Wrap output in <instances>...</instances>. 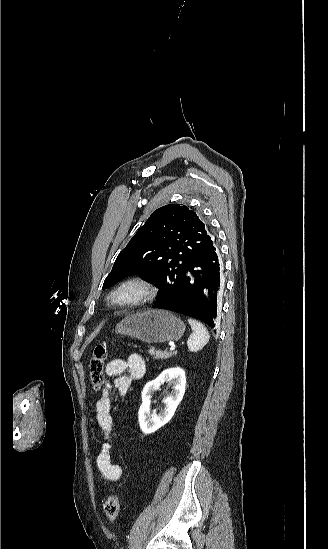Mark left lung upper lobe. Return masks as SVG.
Here are the masks:
<instances>
[{"label":"left lung upper lobe","instance_id":"1","mask_svg":"<svg viewBox=\"0 0 328 549\" xmlns=\"http://www.w3.org/2000/svg\"><path fill=\"white\" fill-rule=\"evenodd\" d=\"M199 216L186 206L169 204L155 210L119 253L103 289L139 274L169 295L190 262L213 243Z\"/></svg>","mask_w":328,"mask_h":549}]
</instances>
